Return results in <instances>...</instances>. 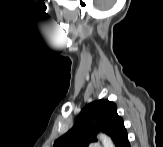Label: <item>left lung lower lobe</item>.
<instances>
[{"mask_svg":"<svg viewBox=\"0 0 163 147\" xmlns=\"http://www.w3.org/2000/svg\"><path fill=\"white\" fill-rule=\"evenodd\" d=\"M116 147H130L127 130L123 129L122 133L115 142Z\"/></svg>","mask_w":163,"mask_h":147,"instance_id":"0a47b994","label":"left lung lower lobe"}]
</instances>
